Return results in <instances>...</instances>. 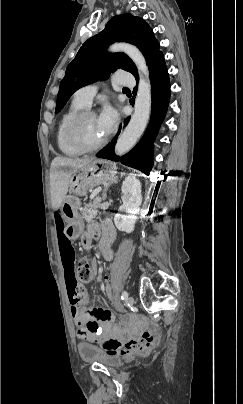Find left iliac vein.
Returning <instances> with one entry per match:
<instances>
[{"mask_svg": "<svg viewBox=\"0 0 243 404\" xmlns=\"http://www.w3.org/2000/svg\"><path fill=\"white\" fill-rule=\"evenodd\" d=\"M133 304H134V298L132 296H129L127 298V305L128 306H133Z\"/></svg>", "mask_w": 243, "mask_h": 404, "instance_id": "left-iliac-vein-1", "label": "left iliac vein"}]
</instances>
